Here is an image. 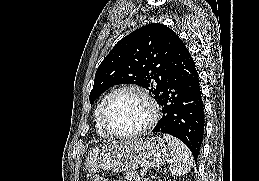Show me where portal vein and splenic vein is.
Segmentation results:
<instances>
[{
    "mask_svg": "<svg viewBox=\"0 0 259 181\" xmlns=\"http://www.w3.org/2000/svg\"><path fill=\"white\" fill-rule=\"evenodd\" d=\"M141 176H142V177H145V176H146V171H144V170L141 171Z\"/></svg>",
    "mask_w": 259,
    "mask_h": 181,
    "instance_id": "portal-vein-and-splenic-vein-1",
    "label": "portal vein and splenic vein"
}]
</instances>
